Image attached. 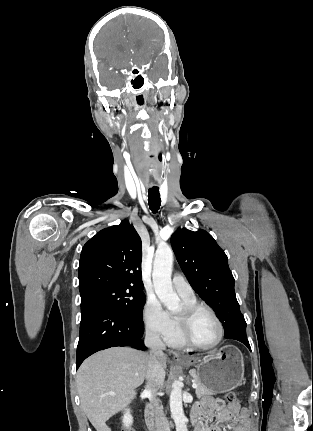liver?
I'll list each match as a JSON object with an SVG mask.
<instances>
[{
	"label": "liver",
	"instance_id": "liver-1",
	"mask_svg": "<svg viewBox=\"0 0 313 431\" xmlns=\"http://www.w3.org/2000/svg\"><path fill=\"white\" fill-rule=\"evenodd\" d=\"M150 355L130 348L100 351L83 362L77 377L81 407L97 431H111L106 421L136 396L146 378ZM163 367L167 357L161 358Z\"/></svg>",
	"mask_w": 313,
	"mask_h": 431
}]
</instances>
